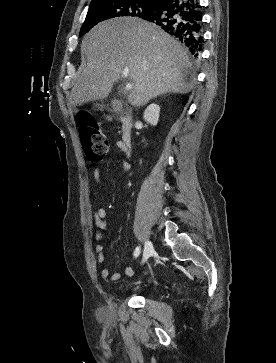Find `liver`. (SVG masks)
<instances>
[{"instance_id":"6515ba94","label":"liver","mask_w":276,"mask_h":363,"mask_svg":"<svg viewBox=\"0 0 276 363\" xmlns=\"http://www.w3.org/2000/svg\"><path fill=\"white\" fill-rule=\"evenodd\" d=\"M81 53L87 63L71 91L72 106L106 98L124 74L133 85L128 95L133 106L166 93L185 94L194 87L195 68L187 49L136 17L96 25L84 36Z\"/></svg>"}]
</instances>
